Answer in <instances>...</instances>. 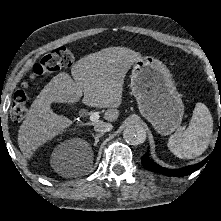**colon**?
<instances>
[{"label": "colon", "instance_id": "5ec220e1", "mask_svg": "<svg viewBox=\"0 0 221 221\" xmlns=\"http://www.w3.org/2000/svg\"><path fill=\"white\" fill-rule=\"evenodd\" d=\"M75 61L74 53L67 47H59L53 52L46 54L36 63L32 69L31 79L50 75L63 68L73 65ZM28 83H23L21 89L17 90L13 97L11 106V118L15 122L24 119L27 113L31 97L27 93Z\"/></svg>", "mask_w": 221, "mask_h": 221}]
</instances>
